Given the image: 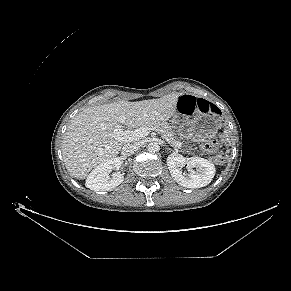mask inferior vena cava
<instances>
[{"label": "inferior vena cava", "mask_w": 291, "mask_h": 291, "mask_svg": "<svg viewBox=\"0 0 291 291\" xmlns=\"http://www.w3.org/2000/svg\"><path fill=\"white\" fill-rule=\"evenodd\" d=\"M140 148V144L138 142L127 143L122 148V154L124 156H130L136 153Z\"/></svg>", "instance_id": "602c4592"}]
</instances>
